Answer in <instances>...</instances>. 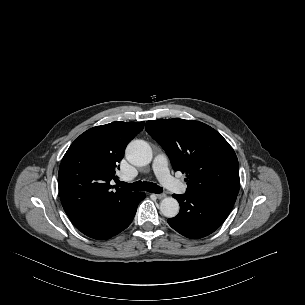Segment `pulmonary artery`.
I'll use <instances>...</instances> for the list:
<instances>
[{
	"mask_svg": "<svg viewBox=\"0 0 305 305\" xmlns=\"http://www.w3.org/2000/svg\"><path fill=\"white\" fill-rule=\"evenodd\" d=\"M153 171L158 180L168 189L176 193H184L186 186L174 178L168 169V159L164 153H158L152 164Z\"/></svg>",
	"mask_w": 305,
	"mask_h": 305,
	"instance_id": "e3ab8cb5",
	"label": "pulmonary artery"
}]
</instances>
